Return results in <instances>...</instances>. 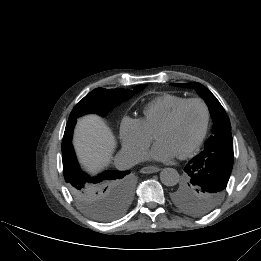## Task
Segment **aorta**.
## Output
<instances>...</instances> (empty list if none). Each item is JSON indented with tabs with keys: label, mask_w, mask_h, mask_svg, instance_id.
Wrapping results in <instances>:
<instances>
[{
	"label": "aorta",
	"mask_w": 261,
	"mask_h": 261,
	"mask_svg": "<svg viewBox=\"0 0 261 261\" xmlns=\"http://www.w3.org/2000/svg\"><path fill=\"white\" fill-rule=\"evenodd\" d=\"M179 179V173L174 168H164L160 173V180L166 186H175Z\"/></svg>",
	"instance_id": "aorta-1"
}]
</instances>
